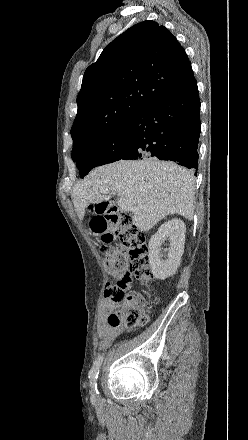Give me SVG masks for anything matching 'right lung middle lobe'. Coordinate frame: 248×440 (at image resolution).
I'll list each match as a JSON object with an SVG mask.
<instances>
[{"instance_id":"1","label":"right lung middle lobe","mask_w":248,"mask_h":440,"mask_svg":"<svg viewBox=\"0 0 248 440\" xmlns=\"http://www.w3.org/2000/svg\"><path fill=\"white\" fill-rule=\"evenodd\" d=\"M130 124L127 122L96 139L73 147L72 160L80 170V177L86 176L97 166L119 160L128 149Z\"/></svg>"}]
</instances>
